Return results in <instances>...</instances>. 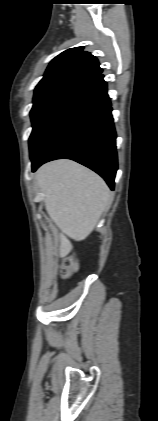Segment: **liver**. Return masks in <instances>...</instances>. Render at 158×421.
I'll return each mask as SVG.
<instances>
[{
  "mask_svg": "<svg viewBox=\"0 0 158 421\" xmlns=\"http://www.w3.org/2000/svg\"><path fill=\"white\" fill-rule=\"evenodd\" d=\"M38 185L45 195V208L61 230L60 256L71 251L68 238L84 240L110 205L105 181L91 170L70 160H57L39 168Z\"/></svg>",
  "mask_w": 158,
  "mask_h": 421,
  "instance_id": "1",
  "label": "liver"
}]
</instances>
